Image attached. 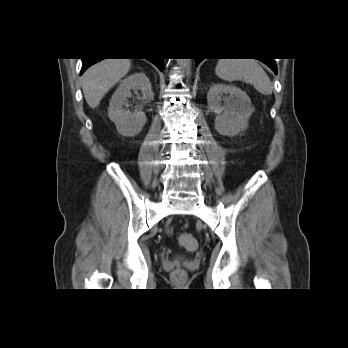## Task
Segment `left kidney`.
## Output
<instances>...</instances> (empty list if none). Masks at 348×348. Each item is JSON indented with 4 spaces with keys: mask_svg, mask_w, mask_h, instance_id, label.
I'll use <instances>...</instances> for the list:
<instances>
[{
    "mask_svg": "<svg viewBox=\"0 0 348 348\" xmlns=\"http://www.w3.org/2000/svg\"><path fill=\"white\" fill-rule=\"evenodd\" d=\"M207 102L209 109L217 114L215 129L219 134L233 137L246 130L252 114L251 100L246 92L233 85L216 84L210 88Z\"/></svg>",
    "mask_w": 348,
    "mask_h": 348,
    "instance_id": "1",
    "label": "left kidney"
}]
</instances>
